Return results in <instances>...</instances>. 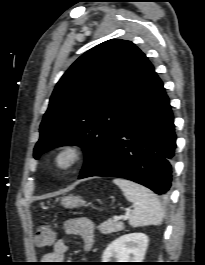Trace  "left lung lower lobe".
Masks as SVG:
<instances>
[{"mask_svg": "<svg viewBox=\"0 0 205 265\" xmlns=\"http://www.w3.org/2000/svg\"><path fill=\"white\" fill-rule=\"evenodd\" d=\"M175 148L169 98L153 71L141 95L125 112L98 155L82 169L79 179L125 178L164 195L171 186Z\"/></svg>", "mask_w": 205, "mask_h": 265, "instance_id": "1", "label": "left lung lower lobe"}]
</instances>
